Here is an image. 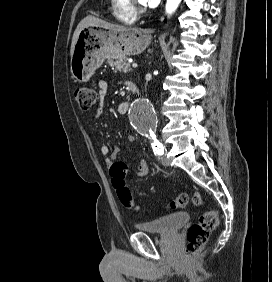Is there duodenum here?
Segmentation results:
<instances>
[{
	"label": "duodenum",
	"mask_w": 272,
	"mask_h": 282,
	"mask_svg": "<svg viewBox=\"0 0 272 282\" xmlns=\"http://www.w3.org/2000/svg\"><path fill=\"white\" fill-rule=\"evenodd\" d=\"M128 87H129V90H130V92L132 94H136L137 93L138 87H137V84L134 81H129L128 82ZM129 106H130V102L129 101L122 102L120 104L121 109H128Z\"/></svg>",
	"instance_id": "1"
}]
</instances>
